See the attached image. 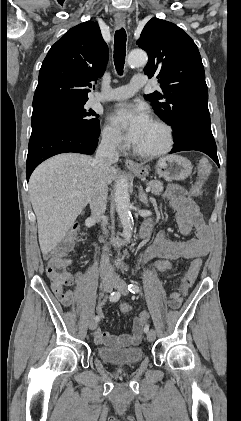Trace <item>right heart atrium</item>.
Wrapping results in <instances>:
<instances>
[{
  "instance_id": "1",
  "label": "right heart atrium",
  "mask_w": 241,
  "mask_h": 421,
  "mask_svg": "<svg viewBox=\"0 0 241 421\" xmlns=\"http://www.w3.org/2000/svg\"><path fill=\"white\" fill-rule=\"evenodd\" d=\"M102 142L112 150L120 151L124 148V142L119 132L110 125H105L101 132Z\"/></svg>"
}]
</instances>
